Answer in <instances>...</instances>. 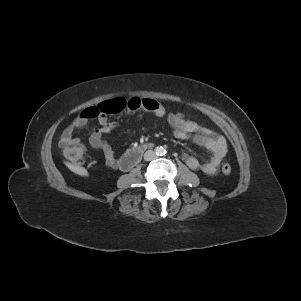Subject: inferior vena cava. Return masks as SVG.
Masks as SVG:
<instances>
[{"label": "inferior vena cava", "instance_id": "obj_1", "mask_svg": "<svg viewBox=\"0 0 301 301\" xmlns=\"http://www.w3.org/2000/svg\"><path fill=\"white\" fill-rule=\"evenodd\" d=\"M157 157L156 153L153 150H148L144 153V160L151 161Z\"/></svg>", "mask_w": 301, "mask_h": 301}]
</instances>
